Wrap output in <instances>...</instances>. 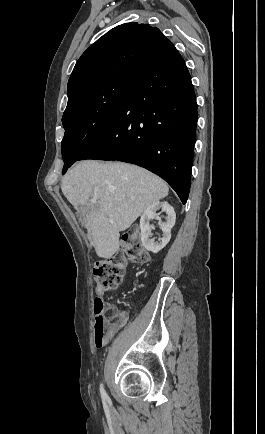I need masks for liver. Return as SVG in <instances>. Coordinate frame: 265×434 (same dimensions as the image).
<instances>
[{
  "instance_id": "obj_1",
  "label": "liver",
  "mask_w": 265,
  "mask_h": 434,
  "mask_svg": "<svg viewBox=\"0 0 265 434\" xmlns=\"http://www.w3.org/2000/svg\"><path fill=\"white\" fill-rule=\"evenodd\" d=\"M62 192L81 214L88 238L99 258L119 250L120 234L161 198L169 188L161 178L123 162H79L65 174ZM133 198V200H130ZM90 200H97L91 204Z\"/></svg>"
}]
</instances>
